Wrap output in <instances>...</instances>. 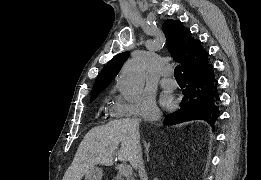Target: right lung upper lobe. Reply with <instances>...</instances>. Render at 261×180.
Listing matches in <instances>:
<instances>
[{
    "mask_svg": "<svg viewBox=\"0 0 261 180\" xmlns=\"http://www.w3.org/2000/svg\"><path fill=\"white\" fill-rule=\"evenodd\" d=\"M162 29L166 37L167 49L172 57L181 64L183 72L208 61V52L203 50L200 40L193 39L191 32L180 21L168 19L164 22ZM129 54L130 52H123L116 55L102 69L94 83L91 97L99 95L109 85L128 59Z\"/></svg>",
    "mask_w": 261,
    "mask_h": 180,
    "instance_id": "cb5924a9",
    "label": "right lung upper lobe"
}]
</instances>
